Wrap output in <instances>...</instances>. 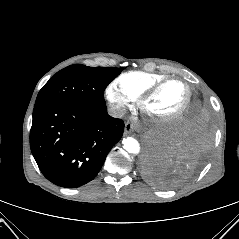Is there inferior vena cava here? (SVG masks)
Listing matches in <instances>:
<instances>
[{"instance_id":"inferior-vena-cava-1","label":"inferior vena cava","mask_w":239,"mask_h":239,"mask_svg":"<svg viewBox=\"0 0 239 239\" xmlns=\"http://www.w3.org/2000/svg\"><path fill=\"white\" fill-rule=\"evenodd\" d=\"M125 107L124 106H118V105H112L108 108V114L114 118H121L125 114Z\"/></svg>"}]
</instances>
